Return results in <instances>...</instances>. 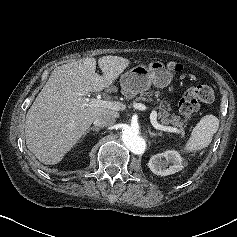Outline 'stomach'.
<instances>
[{
	"label": "stomach",
	"instance_id": "stomach-1",
	"mask_svg": "<svg viewBox=\"0 0 237 237\" xmlns=\"http://www.w3.org/2000/svg\"><path fill=\"white\" fill-rule=\"evenodd\" d=\"M173 79V74L165 68L160 61H152L148 67L138 65L120 77L122 93L126 98H133L143 93L154 84L158 88L168 86Z\"/></svg>",
	"mask_w": 237,
	"mask_h": 237
}]
</instances>
